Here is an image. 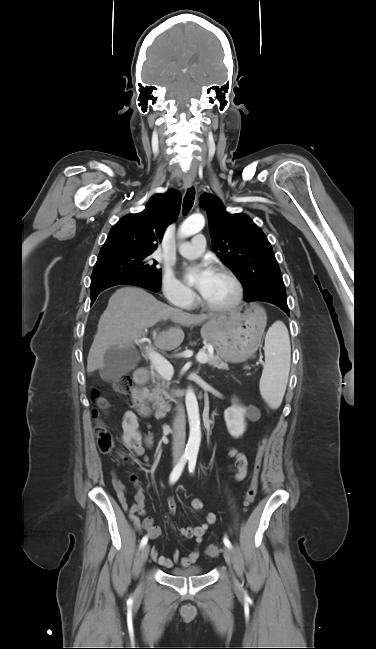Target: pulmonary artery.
I'll use <instances>...</instances> for the list:
<instances>
[{"label": "pulmonary artery", "instance_id": "obj_1", "mask_svg": "<svg viewBox=\"0 0 376 649\" xmlns=\"http://www.w3.org/2000/svg\"><path fill=\"white\" fill-rule=\"evenodd\" d=\"M206 241L203 234L199 233L190 242H182L178 245L179 253L187 258L199 256L205 249Z\"/></svg>", "mask_w": 376, "mask_h": 649}]
</instances>
